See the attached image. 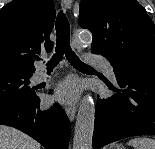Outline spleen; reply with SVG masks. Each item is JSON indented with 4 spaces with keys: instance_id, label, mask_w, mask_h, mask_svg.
<instances>
[{
    "instance_id": "3e777b00",
    "label": "spleen",
    "mask_w": 155,
    "mask_h": 149,
    "mask_svg": "<svg viewBox=\"0 0 155 149\" xmlns=\"http://www.w3.org/2000/svg\"><path fill=\"white\" fill-rule=\"evenodd\" d=\"M134 149H155V140L148 137H136L128 142Z\"/></svg>"
}]
</instances>
